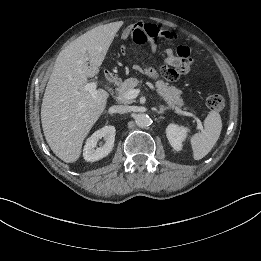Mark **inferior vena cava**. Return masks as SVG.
<instances>
[{"mask_svg":"<svg viewBox=\"0 0 261 261\" xmlns=\"http://www.w3.org/2000/svg\"><path fill=\"white\" fill-rule=\"evenodd\" d=\"M113 110L114 112L116 113H127L129 112V106H126V105H116V106H113Z\"/></svg>","mask_w":261,"mask_h":261,"instance_id":"602c4592","label":"inferior vena cava"}]
</instances>
